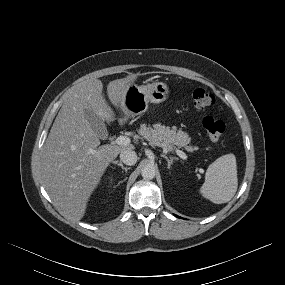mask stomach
Returning <instances> with one entry per match:
<instances>
[{"instance_id": "1", "label": "stomach", "mask_w": 285, "mask_h": 285, "mask_svg": "<svg viewBox=\"0 0 285 285\" xmlns=\"http://www.w3.org/2000/svg\"><path fill=\"white\" fill-rule=\"evenodd\" d=\"M169 93V87L163 82H153L142 86L131 84L125 93L123 103L131 117H135L147 110L148 103L159 104L166 101Z\"/></svg>"}]
</instances>
